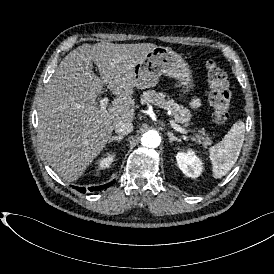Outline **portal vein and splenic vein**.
Wrapping results in <instances>:
<instances>
[{
    "instance_id": "18ae733b",
    "label": "portal vein and splenic vein",
    "mask_w": 274,
    "mask_h": 274,
    "mask_svg": "<svg viewBox=\"0 0 274 274\" xmlns=\"http://www.w3.org/2000/svg\"><path fill=\"white\" fill-rule=\"evenodd\" d=\"M109 103V97H103L101 100H100V109H105L107 104ZM172 127L178 131L179 133L183 134L182 138L185 139V134H188L190 132V130H186L182 127H180L179 125H177L176 123H172Z\"/></svg>"
}]
</instances>
